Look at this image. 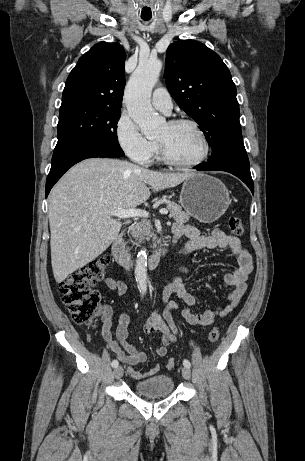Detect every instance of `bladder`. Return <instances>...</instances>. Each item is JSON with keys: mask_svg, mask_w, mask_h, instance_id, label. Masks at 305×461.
Instances as JSON below:
<instances>
[{"mask_svg": "<svg viewBox=\"0 0 305 461\" xmlns=\"http://www.w3.org/2000/svg\"><path fill=\"white\" fill-rule=\"evenodd\" d=\"M134 390L137 394L147 397L166 396L173 392L174 382L171 376L158 374L137 381Z\"/></svg>", "mask_w": 305, "mask_h": 461, "instance_id": "1", "label": "bladder"}]
</instances>
